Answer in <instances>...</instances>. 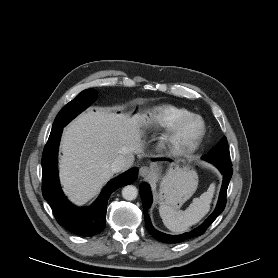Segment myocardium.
Returning a JSON list of instances; mask_svg holds the SVG:
<instances>
[{
  "instance_id": "obj_1",
  "label": "myocardium",
  "mask_w": 278,
  "mask_h": 278,
  "mask_svg": "<svg viewBox=\"0 0 278 278\" xmlns=\"http://www.w3.org/2000/svg\"><path fill=\"white\" fill-rule=\"evenodd\" d=\"M195 121L199 124L198 133L188 141H184L181 138V133L184 127ZM206 134V124L202 117L197 114H189L181 118L172 128L164 138V147L172 155L183 156L193 153L200 146Z\"/></svg>"
}]
</instances>
